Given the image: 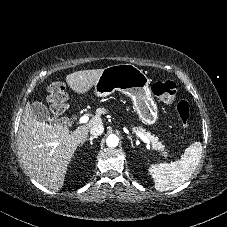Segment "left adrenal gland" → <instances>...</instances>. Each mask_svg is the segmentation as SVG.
<instances>
[{
  "mask_svg": "<svg viewBox=\"0 0 227 227\" xmlns=\"http://www.w3.org/2000/svg\"><path fill=\"white\" fill-rule=\"evenodd\" d=\"M128 138L130 139L131 141V145L133 146V140H132V137L131 136H128ZM134 147V146H133Z\"/></svg>",
  "mask_w": 227,
  "mask_h": 227,
  "instance_id": "left-adrenal-gland-1",
  "label": "left adrenal gland"
}]
</instances>
